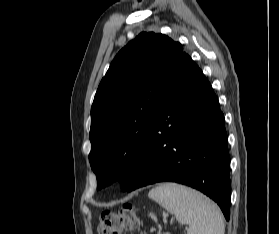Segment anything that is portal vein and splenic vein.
Listing matches in <instances>:
<instances>
[{
    "instance_id": "obj_1",
    "label": "portal vein and splenic vein",
    "mask_w": 279,
    "mask_h": 234,
    "mask_svg": "<svg viewBox=\"0 0 279 234\" xmlns=\"http://www.w3.org/2000/svg\"><path fill=\"white\" fill-rule=\"evenodd\" d=\"M155 230H156V228H153V227H152L150 231L153 232V231H155Z\"/></svg>"
}]
</instances>
